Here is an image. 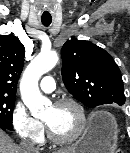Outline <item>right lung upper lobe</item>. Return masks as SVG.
I'll return each mask as SVG.
<instances>
[{
  "label": "right lung upper lobe",
  "mask_w": 130,
  "mask_h": 153,
  "mask_svg": "<svg viewBox=\"0 0 130 153\" xmlns=\"http://www.w3.org/2000/svg\"><path fill=\"white\" fill-rule=\"evenodd\" d=\"M25 48L13 35H0V95L15 97Z\"/></svg>",
  "instance_id": "right-lung-upper-lobe-1"
}]
</instances>
